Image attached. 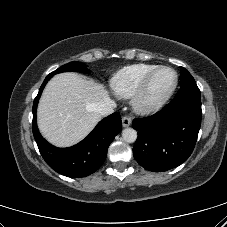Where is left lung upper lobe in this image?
Masks as SVG:
<instances>
[{"instance_id":"left-lung-upper-lobe-1","label":"left lung upper lobe","mask_w":227,"mask_h":227,"mask_svg":"<svg viewBox=\"0 0 227 227\" xmlns=\"http://www.w3.org/2000/svg\"><path fill=\"white\" fill-rule=\"evenodd\" d=\"M180 71H181V85H184L189 82H195L192 75L184 67H180Z\"/></svg>"}]
</instances>
